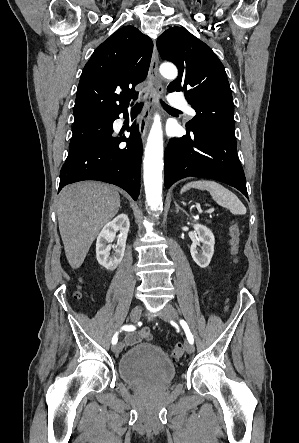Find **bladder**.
<instances>
[{
    "instance_id": "31cf9c89",
    "label": "bladder",
    "mask_w": 299,
    "mask_h": 443,
    "mask_svg": "<svg viewBox=\"0 0 299 443\" xmlns=\"http://www.w3.org/2000/svg\"><path fill=\"white\" fill-rule=\"evenodd\" d=\"M118 374L134 387H161L173 382L176 367L156 344L139 343L130 347L119 359Z\"/></svg>"
}]
</instances>
